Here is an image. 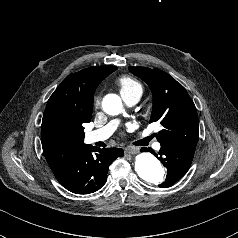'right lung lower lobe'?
I'll return each instance as SVG.
<instances>
[{"instance_id":"right-lung-lower-lobe-1","label":"right lung lower lobe","mask_w":238,"mask_h":238,"mask_svg":"<svg viewBox=\"0 0 238 238\" xmlns=\"http://www.w3.org/2000/svg\"><path fill=\"white\" fill-rule=\"evenodd\" d=\"M123 155L121 148L100 149L89 145L67 165L53 173L59 183L70 192L93 193L105 184L109 165Z\"/></svg>"}]
</instances>
